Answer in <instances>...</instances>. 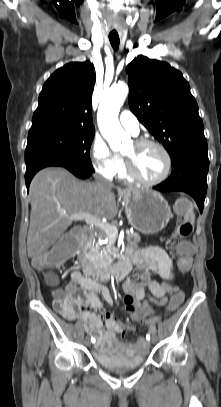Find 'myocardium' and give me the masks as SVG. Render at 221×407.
Listing matches in <instances>:
<instances>
[{
    "mask_svg": "<svg viewBox=\"0 0 221 407\" xmlns=\"http://www.w3.org/2000/svg\"><path fill=\"white\" fill-rule=\"evenodd\" d=\"M133 143L138 148H144V147H149V146L158 148L165 156L166 170H165V173L159 179H156V180L146 179L136 169L133 159L124 155V163H125V168H126V172H127L128 176L142 184L150 185V186L159 185V184L165 182L170 177V175L172 173V169H173V160H172V156H171L170 152L168 151V149L162 143L152 140V139H148V138H139V139H136Z\"/></svg>",
    "mask_w": 221,
    "mask_h": 407,
    "instance_id": "obj_1",
    "label": "myocardium"
}]
</instances>
